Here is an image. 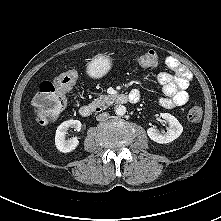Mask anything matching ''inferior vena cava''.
Listing matches in <instances>:
<instances>
[{
    "instance_id": "602c4592",
    "label": "inferior vena cava",
    "mask_w": 221,
    "mask_h": 221,
    "mask_svg": "<svg viewBox=\"0 0 221 221\" xmlns=\"http://www.w3.org/2000/svg\"><path fill=\"white\" fill-rule=\"evenodd\" d=\"M108 118H109V113H107V112H103V113L98 114V115L96 116V120H97V121H105V120H107Z\"/></svg>"
}]
</instances>
